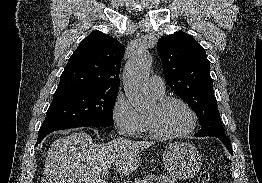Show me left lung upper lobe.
I'll list each match as a JSON object with an SVG mask.
<instances>
[{"label": "left lung upper lobe", "mask_w": 262, "mask_h": 183, "mask_svg": "<svg viewBox=\"0 0 262 183\" xmlns=\"http://www.w3.org/2000/svg\"><path fill=\"white\" fill-rule=\"evenodd\" d=\"M157 51L168 86L196 113L201 129L195 136L226 137L213 93L205 49L184 32L161 37Z\"/></svg>", "instance_id": "obj_1"}]
</instances>
